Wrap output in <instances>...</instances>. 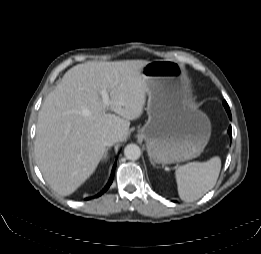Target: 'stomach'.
Masks as SVG:
<instances>
[{
  "mask_svg": "<svg viewBox=\"0 0 261 254\" xmlns=\"http://www.w3.org/2000/svg\"><path fill=\"white\" fill-rule=\"evenodd\" d=\"M148 96V120L138 133L145 140L154 164H171L196 158L207 145L211 123L188 100L189 85L183 67L155 60L142 67Z\"/></svg>",
  "mask_w": 261,
  "mask_h": 254,
  "instance_id": "1",
  "label": "stomach"
}]
</instances>
